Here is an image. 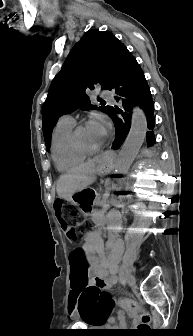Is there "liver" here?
Returning <instances> with one entry per match:
<instances>
[{"mask_svg":"<svg viewBox=\"0 0 193 336\" xmlns=\"http://www.w3.org/2000/svg\"><path fill=\"white\" fill-rule=\"evenodd\" d=\"M100 161L101 157H96L61 175L56 186L58 196L69 200L74 192L91 185L96 180V173H99Z\"/></svg>","mask_w":193,"mask_h":336,"instance_id":"1","label":"liver"}]
</instances>
